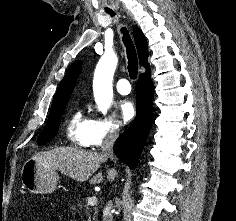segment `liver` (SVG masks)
<instances>
[{
    "label": "liver",
    "instance_id": "obj_1",
    "mask_svg": "<svg viewBox=\"0 0 236 221\" xmlns=\"http://www.w3.org/2000/svg\"><path fill=\"white\" fill-rule=\"evenodd\" d=\"M32 158L76 181L90 179L91 184H99L104 178L102 172L92 175L108 157L72 147H56L50 151L38 152ZM107 173L109 180H113L117 174L114 169H109Z\"/></svg>",
    "mask_w": 236,
    "mask_h": 221
}]
</instances>
